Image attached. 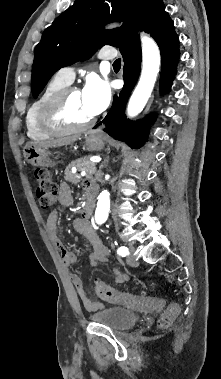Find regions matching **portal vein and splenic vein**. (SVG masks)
<instances>
[{
	"label": "portal vein and splenic vein",
	"instance_id": "1",
	"mask_svg": "<svg viewBox=\"0 0 221 379\" xmlns=\"http://www.w3.org/2000/svg\"><path fill=\"white\" fill-rule=\"evenodd\" d=\"M92 162H93V163H98L99 160H92ZM95 171H96V167H94V168L92 169L91 174L94 173ZM81 175H86V172L83 171V172L81 173Z\"/></svg>",
	"mask_w": 221,
	"mask_h": 379
}]
</instances>
